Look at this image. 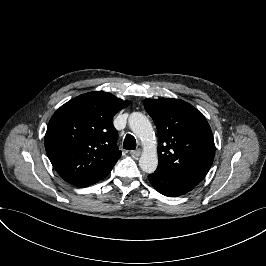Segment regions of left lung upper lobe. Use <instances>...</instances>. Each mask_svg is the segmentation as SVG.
I'll list each match as a JSON object with an SVG mask.
<instances>
[{
    "mask_svg": "<svg viewBox=\"0 0 266 266\" xmlns=\"http://www.w3.org/2000/svg\"><path fill=\"white\" fill-rule=\"evenodd\" d=\"M144 107L158 131L157 170L196 186L208 173L215 155L206 118L179 99H145Z\"/></svg>",
    "mask_w": 266,
    "mask_h": 266,
    "instance_id": "5c2ea615",
    "label": "left lung upper lobe"
}]
</instances>
